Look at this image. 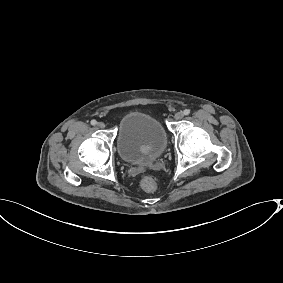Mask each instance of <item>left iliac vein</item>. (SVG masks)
<instances>
[{"label": "left iliac vein", "instance_id": "4c4485c4", "mask_svg": "<svg viewBox=\"0 0 283 283\" xmlns=\"http://www.w3.org/2000/svg\"><path fill=\"white\" fill-rule=\"evenodd\" d=\"M184 117V114L182 112H177L174 116L176 120H181Z\"/></svg>", "mask_w": 283, "mask_h": 283}]
</instances>
